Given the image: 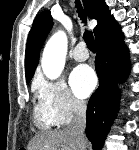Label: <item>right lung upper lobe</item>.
Instances as JSON below:
<instances>
[{
	"instance_id": "cb5924a9",
	"label": "right lung upper lobe",
	"mask_w": 139,
	"mask_h": 150,
	"mask_svg": "<svg viewBox=\"0 0 139 150\" xmlns=\"http://www.w3.org/2000/svg\"><path fill=\"white\" fill-rule=\"evenodd\" d=\"M88 17L96 19L95 36L112 17L104 0H83ZM53 25L49 10L40 13L34 20L28 35L25 55L26 81L30 82L39 61L40 49Z\"/></svg>"
}]
</instances>
